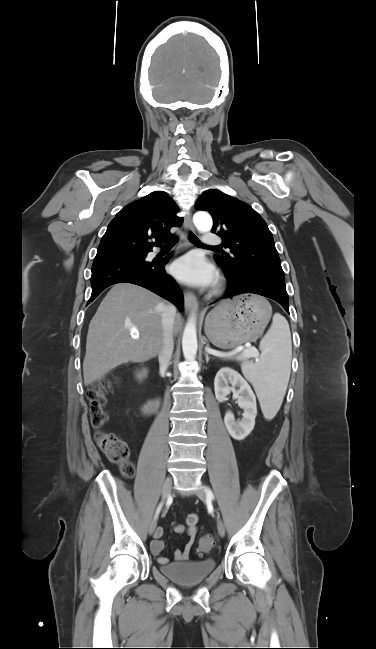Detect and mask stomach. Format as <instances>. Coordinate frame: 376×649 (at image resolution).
Wrapping results in <instances>:
<instances>
[{
    "label": "stomach",
    "mask_w": 376,
    "mask_h": 649,
    "mask_svg": "<svg viewBox=\"0 0 376 649\" xmlns=\"http://www.w3.org/2000/svg\"><path fill=\"white\" fill-rule=\"evenodd\" d=\"M272 314L271 305L256 295L221 302L206 317L205 334L218 348L231 349L259 337Z\"/></svg>",
    "instance_id": "obj_1"
}]
</instances>
